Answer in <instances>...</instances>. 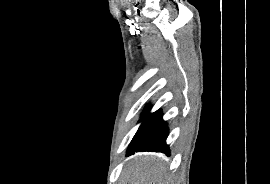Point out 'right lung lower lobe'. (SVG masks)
I'll use <instances>...</instances> for the list:
<instances>
[{
  "instance_id": "98d812e1",
  "label": "right lung lower lobe",
  "mask_w": 270,
  "mask_h": 184,
  "mask_svg": "<svg viewBox=\"0 0 270 184\" xmlns=\"http://www.w3.org/2000/svg\"><path fill=\"white\" fill-rule=\"evenodd\" d=\"M142 120L143 122L133 137L126 156L145 151L163 152L169 155L170 150L166 144L168 129L167 123L162 119V113L158 110L150 114V110L146 109Z\"/></svg>"
}]
</instances>
